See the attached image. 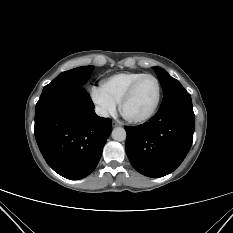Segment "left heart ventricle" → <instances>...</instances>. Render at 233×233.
Returning <instances> with one entry per match:
<instances>
[{"label":"left heart ventricle","instance_id":"obj_1","mask_svg":"<svg viewBox=\"0 0 233 233\" xmlns=\"http://www.w3.org/2000/svg\"><path fill=\"white\" fill-rule=\"evenodd\" d=\"M156 98L157 85L155 81L151 78H145L138 84L124 110L129 116H142L151 110L155 104Z\"/></svg>","mask_w":233,"mask_h":233}]
</instances>
